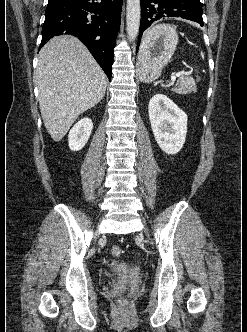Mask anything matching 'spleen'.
Here are the masks:
<instances>
[{
	"instance_id": "3e777b00",
	"label": "spleen",
	"mask_w": 247,
	"mask_h": 332,
	"mask_svg": "<svg viewBox=\"0 0 247 332\" xmlns=\"http://www.w3.org/2000/svg\"><path fill=\"white\" fill-rule=\"evenodd\" d=\"M176 91H177L178 93H185V91L180 90V89H176Z\"/></svg>"
}]
</instances>
